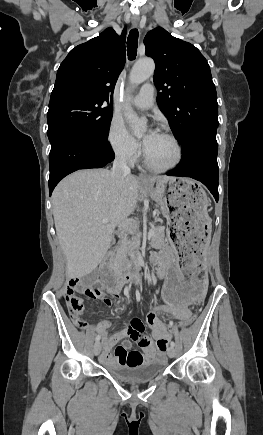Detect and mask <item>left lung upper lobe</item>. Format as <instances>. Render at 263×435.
<instances>
[{
  "instance_id": "1",
  "label": "left lung upper lobe",
  "mask_w": 263,
  "mask_h": 435,
  "mask_svg": "<svg viewBox=\"0 0 263 435\" xmlns=\"http://www.w3.org/2000/svg\"><path fill=\"white\" fill-rule=\"evenodd\" d=\"M146 55L155 61L157 103L183 145L192 135L216 132L218 103L210 67L192 44L157 27L144 39Z\"/></svg>"
}]
</instances>
